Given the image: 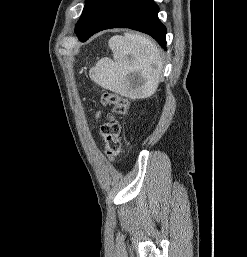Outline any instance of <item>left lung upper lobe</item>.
Wrapping results in <instances>:
<instances>
[{
	"mask_svg": "<svg viewBox=\"0 0 247 257\" xmlns=\"http://www.w3.org/2000/svg\"><path fill=\"white\" fill-rule=\"evenodd\" d=\"M97 0H86L85 2V7L83 9V12H82V15L79 19V21L77 22L76 24V27H75V33L78 34L81 29L83 28L85 22L87 21L95 3H96Z\"/></svg>",
	"mask_w": 247,
	"mask_h": 257,
	"instance_id": "1",
	"label": "left lung upper lobe"
}]
</instances>
